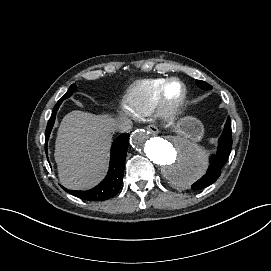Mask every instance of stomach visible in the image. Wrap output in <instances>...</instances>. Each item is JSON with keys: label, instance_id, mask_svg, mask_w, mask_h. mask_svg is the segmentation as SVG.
Instances as JSON below:
<instances>
[{"label": "stomach", "instance_id": "1", "mask_svg": "<svg viewBox=\"0 0 271 271\" xmlns=\"http://www.w3.org/2000/svg\"><path fill=\"white\" fill-rule=\"evenodd\" d=\"M174 132L198 142L204 135V126L197 118L186 116L177 121Z\"/></svg>", "mask_w": 271, "mask_h": 271}]
</instances>
